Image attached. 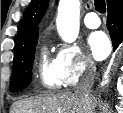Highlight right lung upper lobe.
<instances>
[{
    "label": "right lung upper lobe",
    "instance_id": "obj_1",
    "mask_svg": "<svg viewBox=\"0 0 123 113\" xmlns=\"http://www.w3.org/2000/svg\"><path fill=\"white\" fill-rule=\"evenodd\" d=\"M48 4L49 0H32L30 2L19 25L15 48L38 35V24L46 13Z\"/></svg>",
    "mask_w": 123,
    "mask_h": 113
}]
</instances>
